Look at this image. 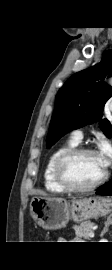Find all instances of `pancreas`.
<instances>
[{
  "mask_svg": "<svg viewBox=\"0 0 112 270\" xmlns=\"http://www.w3.org/2000/svg\"><path fill=\"white\" fill-rule=\"evenodd\" d=\"M93 226L94 223L91 221H85L80 225H74L73 229L75 230L76 237L79 239H88Z\"/></svg>",
  "mask_w": 112,
  "mask_h": 270,
  "instance_id": "cf45deb5",
  "label": "pancreas"
}]
</instances>
